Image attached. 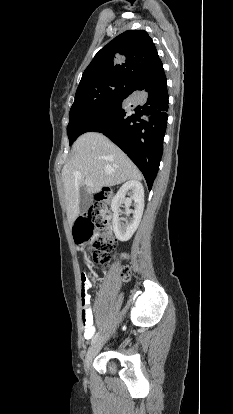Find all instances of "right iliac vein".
<instances>
[{"instance_id":"1","label":"right iliac vein","mask_w":233,"mask_h":414,"mask_svg":"<svg viewBox=\"0 0 233 414\" xmlns=\"http://www.w3.org/2000/svg\"><path fill=\"white\" fill-rule=\"evenodd\" d=\"M104 341H105V337H102L89 348L86 354V357H85V361H84V369L86 373L89 372L92 360L96 356V354L99 352V350L101 349Z\"/></svg>"}]
</instances>
